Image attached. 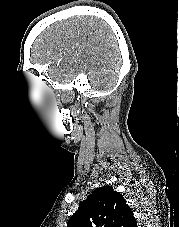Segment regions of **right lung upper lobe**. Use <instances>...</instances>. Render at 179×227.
Masks as SVG:
<instances>
[{
    "mask_svg": "<svg viewBox=\"0 0 179 227\" xmlns=\"http://www.w3.org/2000/svg\"><path fill=\"white\" fill-rule=\"evenodd\" d=\"M126 200L110 186L97 188L70 217L67 227H134Z\"/></svg>",
    "mask_w": 179,
    "mask_h": 227,
    "instance_id": "cb5924a9",
    "label": "right lung upper lobe"
}]
</instances>
